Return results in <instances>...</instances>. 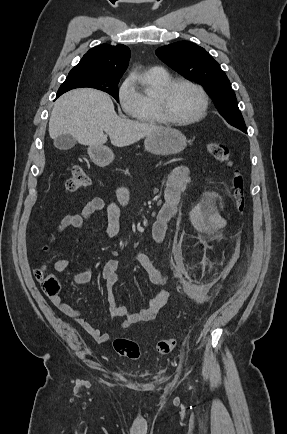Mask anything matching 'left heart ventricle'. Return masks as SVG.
Listing matches in <instances>:
<instances>
[{"mask_svg": "<svg viewBox=\"0 0 287 434\" xmlns=\"http://www.w3.org/2000/svg\"><path fill=\"white\" fill-rule=\"evenodd\" d=\"M201 98L196 90L187 85H177L170 92L167 107L170 115L176 119H187L198 113Z\"/></svg>", "mask_w": 287, "mask_h": 434, "instance_id": "b2bd125f", "label": "left heart ventricle"}]
</instances>
